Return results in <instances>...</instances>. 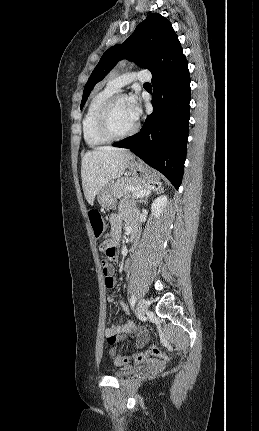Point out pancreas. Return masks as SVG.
Segmentation results:
<instances>
[{
  "mask_svg": "<svg viewBox=\"0 0 259 431\" xmlns=\"http://www.w3.org/2000/svg\"><path fill=\"white\" fill-rule=\"evenodd\" d=\"M146 187L147 184L138 179L122 177L112 185V193L115 198L125 197L137 199L140 197L135 196L134 193Z\"/></svg>",
  "mask_w": 259,
  "mask_h": 431,
  "instance_id": "obj_1",
  "label": "pancreas"
}]
</instances>
